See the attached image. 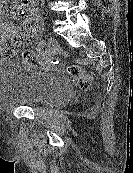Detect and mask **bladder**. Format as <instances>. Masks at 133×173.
<instances>
[{"label":"bladder","mask_w":133,"mask_h":173,"mask_svg":"<svg viewBox=\"0 0 133 173\" xmlns=\"http://www.w3.org/2000/svg\"><path fill=\"white\" fill-rule=\"evenodd\" d=\"M72 94L63 76L43 72L32 65L10 60L0 65V110L19 106L35 110L57 106Z\"/></svg>","instance_id":"1"}]
</instances>
